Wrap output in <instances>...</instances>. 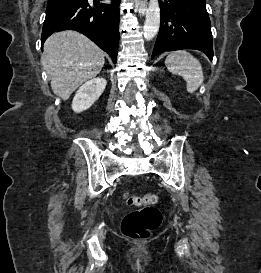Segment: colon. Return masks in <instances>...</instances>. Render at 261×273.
<instances>
[{
    "label": "colon",
    "instance_id": "obj_1",
    "mask_svg": "<svg viewBox=\"0 0 261 273\" xmlns=\"http://www.w3.org/2000/svg\"><path fill=\"white\" fill-rule=\"evenodd\" d=\"M124 199L128 205L143 206L141 209L127 214L122 220V233L130 239H142L147 237L153 229H156L162 220L161 212L154 207L157 202L155 194L142 196L125 193Z\"/></svg>",
    "mask_w": 261,
    "mask_h": 273
}]
</instances>
